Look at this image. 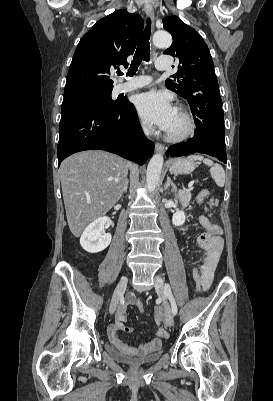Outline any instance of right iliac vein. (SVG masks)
Listing matches in <instances>:
<instances>
[{
    "instance_id": "obj_1",
    "label": "right iliac vein",
    "mask_w": 273,
    "mask_h": 401,
    "mask_svg": "<svg viewBox=\"0 0 273 401\" xmlns=\"http://www.w3.org/2000/svg\"><path fill=\"white\" fill-rule=\"evenodd\" d=\"M127 282L128 279L127 277H123L120 279L119 283L117 284L112 299H111V303L109 305V312L110 314H113L116 310V307L119 303V299L120 297L124 294L126 287H127Z\"/></svg>"
}]
</instances>
